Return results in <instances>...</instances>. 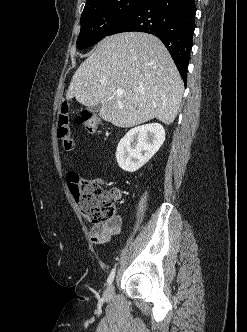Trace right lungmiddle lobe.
<instances>
[{"mask_svg": "<svg viewBox=\"0 0 247 332\" xmlns=\"http://www.w3.org/2000/svg\"><path fill=\"white\" fill-rule=\"evenodd\" d=\"M147 0H100L84 8L81 30L77 40L79 49H84L103 39L114 24Z\"/></svg>", "mask_w": 247, "mask_h": 332, "instance_id": "1", "label": "right lung middle lobe"}]
</instances>
